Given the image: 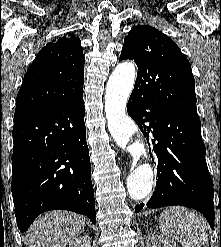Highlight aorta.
<instances>
[{
  "mask_svg": "<svg viewBox=\"0 0 221 247\" xmlns=\"http://www.w3.org/2000/svg\"><path fill=\"white\" fill-rule=\"evenodd\" d=\"M135 80L131 63L119 64L110 76L105 94V113L108 129L117 145L126 149L138 132L134 122L126 116V105ZM153 186V169L149 163L139 164L127 178V189L133 200H142Z\"/></svg>",
  "mask_w": 221,
  "mask_h": 247,
  "instance_id": "aorta-1",
  "label": "aorta"
}]
</instances>
